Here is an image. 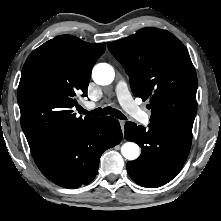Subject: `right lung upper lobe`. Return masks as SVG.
<instances>
[{
    "label": "right lung upper lobe",
    "instance_id": "cb5924a9",
    "mask_svg": "<svg viewBox=\"0 0 221 221\" xmlns=\"http://www.w3.org/2000/svg\"><path fill=\"white\" fill-rule=\"evenodd\" d=\"M103 44H91L61 35L35 49L21 73L17 101L21 126L34 159L65 136L96 118L76 117L72 107L87 95L92 68L104 53Z\"/></svg>",
    "mask_w": 221,
    "mask_h": 221
}]
</instances>
